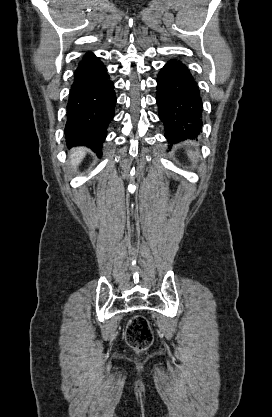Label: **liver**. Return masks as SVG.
<instances>
[{"mask_svg":"<svg viewBox=\"0 0 272 417\" xmlns=\"http://www.w3.org/2000/svg\"><path fill=\"white\" fill-rule=\"evenodd\" d=\"M85 155H86L85 148H77V149L72 150L69 156L71 167L75 169L81 163Z\"/></svg>","mask_w":272,"mask_h":417,"instance_id":"1","label":"liver"}]
</instances>
